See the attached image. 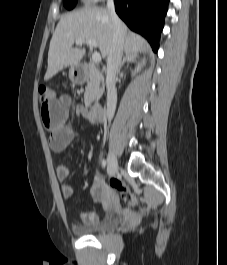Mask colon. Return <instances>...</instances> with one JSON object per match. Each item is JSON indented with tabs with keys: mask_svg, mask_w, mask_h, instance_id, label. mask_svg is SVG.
<instances>
[{
	"mask_svg": "<svg viewBox=\"0 0 227 265\" xmlns=\"http://www.w3.org/2000/svg\"><path fill=\"white\" fill-rule=\"evenodd\" d=\"M38 95L40 105L41 102H50L54 98V92L51 87L47 85H40L38 88ZM110 185L118 191L123 201L129 205H136L138 203L137 196L131 191V189L119 178H110Z\"/></svg>",
	"mask_w": 227,
	"mask_h": 265,
	"instance_id": "colon-1",
	"label": "colon"
}]
</instances>
